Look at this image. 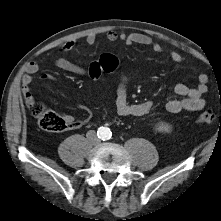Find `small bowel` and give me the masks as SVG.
I'll list each match as a JSON object with an SVG mask.
<instances>
[{
	"mask_svg": "<svg viewBox=\"0 0 221 221\" xmlns=\"http://www.w3.org/2000/svg\"><path fill=\"white\" fill-rule=\"evenodd\" d=\"M106 38L110 42H116L118 40L123 41L127 45L138 44L149 46L155 53H163V47L154 42L149 36L140 33L131 34H119L114 30H109L106 32ZM88 45H93L97 41V36L95 34H89L85 39ZM76 45L74 40L66 41L62 50L65 52L71 51ZM168 58L177 64L183 62V57L176 51H170L167 53ZM56 66L66 72L78 75V76H90L89 66L84 67L78 65L64 57H59L55 61ZM39 71V66L35 62H28L25 65V74L22 77V94L25 99L26 104L29 106L31 102L34 101L30 85L32 84V75ZM91 77V76H90ZM42 81L54 80V76L51 74H42L39 78ZM130 81L129 77H122L116 91L115 105L117 113L121 116H134L140 117L146 115L153 107L152 101H144L140 103H130L128 101L127 85ZM208 76L206 74L198 75V85L189 86L184 83L176 85L174 92L179 98L170 100L166 104V109L171 113H179L181 111H199L205 106V100L203 99V94L207 91ZM64 118L68 123V128H77L82 123L75 120L71 115L65 114Z\"/></svg>",
	"mask_w": 221,
	"mask_h": 221,
	"instance_id": "c3829d8e",
	"label": "small bowel"
}]
</instances>
